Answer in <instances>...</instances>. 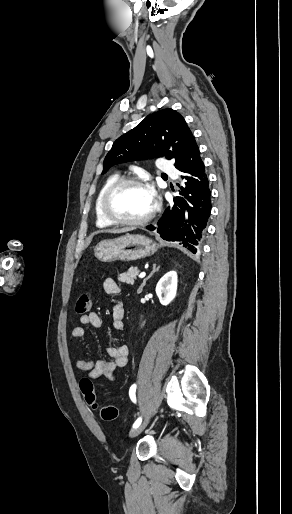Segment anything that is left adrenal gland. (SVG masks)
<instances>
[{"instance_id": "obj_1", "label": "left adrenal gland", "mask_w": 292, "mask_h": 514, "mask_svg": "<svg viewBox=\"0 0 292 514\" xmlns=\"http://www.w3.org/2000/svg\"><path fill=\"white\" fill-rule=\"evenodd\" d=\"M160 266H158V268H156V264H153V270L151 272V274H149L148 278H145V280H143V284H141L139 290H137L138 294H141L144 286H146V282L147 280H149V278H151V276H153V274H155V272H158Z\"/></svg>"}]
</instances>
